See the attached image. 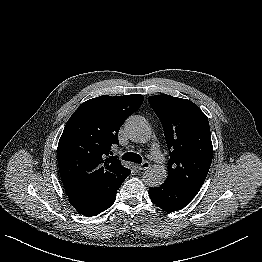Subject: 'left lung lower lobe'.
Listing matches in <instances>:
<instances>
[{
    "mask_svg": "<svg viewBox=\"0 0 262 262\" xmlns=\"http://www.w3.org/2000/svg\"><path fill=\"white\" fill-rule=\"evenodd\" d=\"M197 191L165 181L162 185L149 189L150 199L166 212H174L185 207Z\"/></svg>",
    "mask_w": 262,
    "mask_h": 262,
    "instance_id": "0a47b994",
    "label": "left lung lower lobe"
}]
</instances>
